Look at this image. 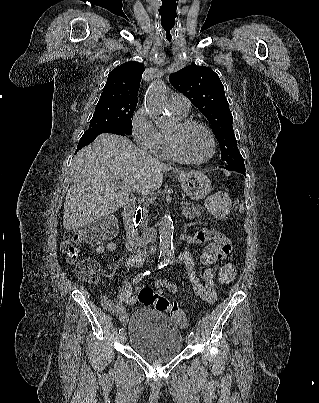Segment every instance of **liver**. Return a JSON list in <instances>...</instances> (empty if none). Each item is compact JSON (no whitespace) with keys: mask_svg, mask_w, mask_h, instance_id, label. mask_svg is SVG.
Listing matches in <instances>:
<instances>
[{"mask_svg":"<svg viewBox=\"0 0 319 403\" xmlns=\"http://www.w3.org/2000/svg\"><path fill=\"white\" fill-rule=\"evenodd\" d=\"M169 170L128 138L101 134L74 157L63 226L75 230L120 209L129 197L125 186L145 195L158 190Z\"/></svg>","mask_w":319,"mask_h":403,"instance_id":"6515ba94","label":"liver"}]
</instances>
